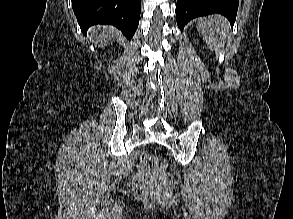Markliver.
Wrapping results in <instances>:
<instances>
[{"label": "liver", "mask_w": 293, "mask_h": 219, "mask_svg": "<svg viewBox=\"0 0 293 219\" xmlns=\"http://www.w3.org/2000/svg\"><path fill=\"white\" fill-rule=\"evenodd\" d=\"M91 30L96 34L100 33L98 40L101 43H104L107 39L110 40L112 37H116V32L112 27H105L103 29L102 27H93Z\"/></svg>", "instance_id": "liver-1"}]
</instances>
